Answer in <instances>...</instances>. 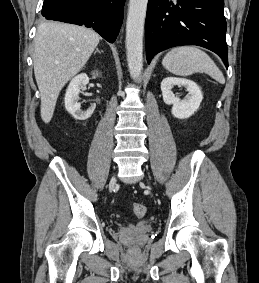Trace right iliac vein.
<instances>
[{
	"instance_id": "63e3f726",
	"label": "right iliac vein",
	"mask_w": 259,
	"mask_h": 283,
	"mask_svg": "<svg viewBox=\"0 0 259 283\" xmlns=\"http://www.w3.org/2000/svg\"><path fill=\"white\" fill-rule=\"evenodd\" d=\"M116 182H117V179H116V176H112L110 182H109V188L110 190H113L114 187L116 186Z\"/></svg>"
}]
</instances>
